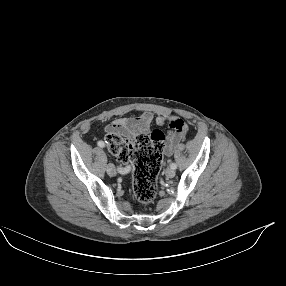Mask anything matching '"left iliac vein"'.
<instances>
[{
    "label": "left iliac vein",
    "mask_w": 286,
    "mask_h": 286,
    "mask_svg": "<svg viewBox=\"0 0 286 286\" xmlns=\"http://www.w3.org/2000/svg\"><path fill=\"white\" fill-rule=\"evenodd\" d=\"M165 175L168 177V178H173L175 176V171L172 169V168H167L165 170Z\"/></svg>",
    "instance_id": "obj_1"
}]
</instances>
